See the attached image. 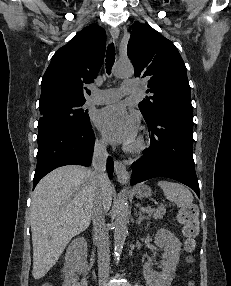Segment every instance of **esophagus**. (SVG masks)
Masks as SVG:
<instances>
[{"label":"esophagus","instance_id":"esophagus-1","mask_svg":"<svg viewBox=\"0 0 231 286\" xmlns=\"http://www.w3.org/2000/svg\"><path fill=\"white\" fill-rule=\"evenodd\" d=\"M110 34L113 40L117 41L119 38V29L117 27H111ZM114 169L118 182L125 184L129 180V173L126 169L125 162L114 160Z\"/></svg>","mask_w":231,"mask_h":286}]
</instances>
